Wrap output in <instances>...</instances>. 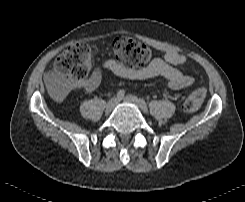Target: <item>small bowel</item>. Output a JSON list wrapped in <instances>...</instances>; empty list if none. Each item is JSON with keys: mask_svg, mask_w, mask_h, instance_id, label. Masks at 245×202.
<instances>
[{"mask_svg": "<svg viewBox=\"0 0 245 202\" xmlns=\"http://www.w3.org/2000/svg\"><path fill=\"white\" fill-rule=\"evenodd\" d=\"M183 56L176 50H169L163 58H154L147 65L140 68H127L121 65L116 59L108 58L104 62V68L117 77L142 81L154 77H162L168 81L170 89L175 91L184 90L193 85L192 76L182 72L175 67L182 61ZM46 80H53L54 73L46 75ZM103 78V70L94 71L90 77L80 81H71L68 85L62 84L60 87L61 94L74 93L77 91H94L97 89Z\"/></svg>", "mask_w": 245, "mask_h": 202, "instance_id": "small-bowel-1", "label": "small bowel"}]
</instances>
